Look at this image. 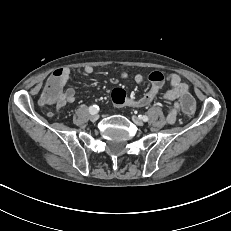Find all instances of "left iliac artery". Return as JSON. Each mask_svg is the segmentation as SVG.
Here are the masks:
<instances>
[{"mask_svg":"<svg viewBox=\"0 0 231 231\" xmlns=\"http://www.w3.org/2000/svg\"><path fill=\"white\" fill-rule=\"evenodd\" d=\"M144 122L148 121V117L146 115L139 116Z\"/></svg>","mask_w":231,"mask_h":231,"instance_id":"44dca946","label":"left iliac artery"}]
</instances>
